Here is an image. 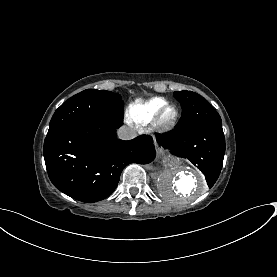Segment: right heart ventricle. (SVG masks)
Returning <instances> with one entry per match:
<instances>
[{
    "label": "right heart ventricle",
    "mask_w": 277,
    "mask_h": 277,
    "mask_svg": "<svg viewBox=\"0 0 277 277\" xmlns=\"http://www.w3.org/2000/svg\"><path fill=\"white\" fill-rule=\"evenodd\" d=\"M168 103L165 98L155 97L147 101L136 100L126 109V118L136 124L146 125L150 123L158 109Z\"/></svg>",
    "instance_id": "1"
}]
</instances>
